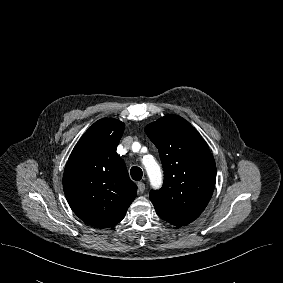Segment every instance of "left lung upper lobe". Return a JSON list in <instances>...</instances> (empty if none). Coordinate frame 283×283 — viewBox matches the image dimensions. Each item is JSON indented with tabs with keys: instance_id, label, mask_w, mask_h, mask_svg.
I'll return each instance as SVG.
<instances>
[{
	"instance_id": "left-lung-upper-lobe-1",
	"label": "left lung upper lobe",
	"mask_w": 283,
	"mask_h": 283,
	"mask_svg": "<svg viewBox=\"0 0 283 283\" xmlns=\"http://www.w3.org/2000/svg\"><path fill=\"white\" fill-rule=\"evenodd\" d=\"M164 169L163 187L150 192L157 214L183 226L199 217L211 199L215 181L214 158L201 135L184 118L168 115L146 126Z\"/></svg>"
}]
</instances>
